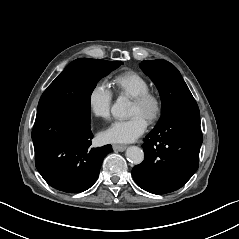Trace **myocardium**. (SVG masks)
I'll return each instance as SVG.
<instances>
[{
	"mask_svg": "<svg viewBox=\"0 0 239 239\" xmlns=\"http://www.w3.org/2000/svg\"><path fill=\"white\" fill-rule=\"evenodd\" d=\"M133 101L148 110L149 124H155L161 118L164 102L158 91L148 89L134 96Z\"/></svg>",
	"mask_w": 239,
	"mask_h": 239,
	"instance_id": "myocardium-1",
	"label": "myocardium"
}]
</instances>
